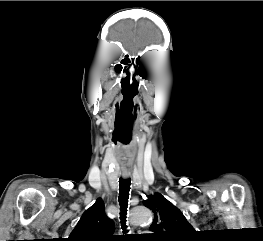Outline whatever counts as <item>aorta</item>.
Segmentation results:
<instances>
[{
  "mask_svg": "<svg viewBox=\"0 0 263 241\" xmlns=\"http://www.w3.org/2000/svg\"><path fill=\"white\" fill-rule=\"evenodd\" d=\"M152 212L144 206L134 207L130 212V223L133 225L150 224Z\"/></svg>",
  "mask_w": 263,
  "mask_h": 241,
  "instance_id": "1",
  "label": "aorta"
}]
</instances>
